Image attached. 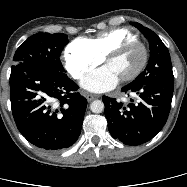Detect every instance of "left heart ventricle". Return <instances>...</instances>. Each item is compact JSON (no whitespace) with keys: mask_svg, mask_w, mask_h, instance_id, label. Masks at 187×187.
I'll return each mask as SVG.
<instances>
[{"mask_svg":"<svg viewBox=\"0 0 187 187\" xmlns=\"http://www.w3.org/2000/svg\"><path fill=\"white\" fill-rule=\"evenodd\" d=\"M143 58V50L139 46H134L126 50L119 57L111 58L108 65L117 76L122 79L134 72L140 65Z\"/></svg>","mask_w":187,"mask_h":187,"instance_id":"left-heart-ventricle-1","label":"left heart ventricle"}]
</instances>
